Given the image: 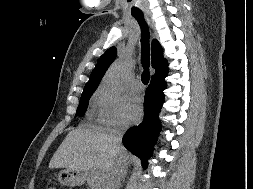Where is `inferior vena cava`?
Wrapping results in <instances>:
<instances>
[{"label":"inferior vena cava","mask_w":253,"mask_h":189,"mask_svg":"<svg viewBox=\"0 0 253 189\" xmlns=\"http://www.w3.org/2000/svg\"><path fill=\"white\" fill-rule=\"evenodd\" d=\"M124 129H118L113 131L112 141L115 148L121 145ZM129 149H119L116 153L117 162L111 168L110 172L105 176L103 180L102 189H119L121 180L126 174V167L128 166V158L130 157Z\"/></svg>","instance_id":"inferior-vena-cava-1"}]
</instances>
